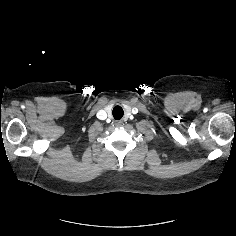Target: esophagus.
Instances as JSON below:
<instances>
[{
    "label": "esophagus",
    "instance_id": "1",
    "mask_svg": "<svg viewBox=\"0 0 236 236\" xmlns=\"http://www.w3.org/2000/svg\"><path fill=\"white\" fill-rule=\"evenodd\" d=\"M116 126H117V127L122 126V122H117V123H116Z\"/></svg>",
    "mask_w": 236,
    "mask_h": 236
}]
</instances>
